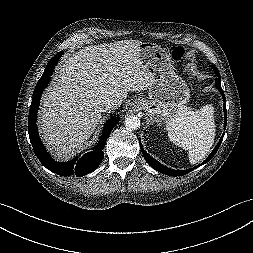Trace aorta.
<instances>
[{
    "label": "aorta",
    "mask_w": 253,
    "mask_h": 253,
    "mask_svg": "<svg viewBox=\"0 0 253 253\" xmlns=\"http://www.w3.org/2000/svg\"><path fill=\"white\" fill-rule=\"evenodd\" d=\"M125 126L128 130H136L140 126V119L137 116H128L125 119Z\"/></svg>",
    "instance_id": "1"
}]
</instances>
